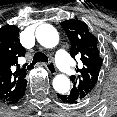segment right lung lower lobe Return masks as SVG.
Returning a JSON list of instances; mask_svg holds the SVG:
<instances>
[{
	"label": "right lung lower lobe",
	"instance_id": "98d812e1",
	"mask_svg": "<svg viewBox=\"0 0 117 117\" xmlns=\"http://www.w3.org/2000/svg\"><path fill=\"white\" fill-rule=\"evenodd\" d=\"M27 82L25 83V85L20 89V91L17 93V95L15 96L14 99H12L11 101L8 102V104H15L17 103L24 95L25 92V88H26Z\"/></svg>",
	"mask_w": 117,
	"mask_h": 117
}]
</instances>
